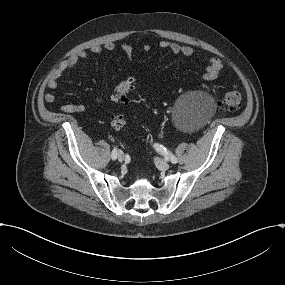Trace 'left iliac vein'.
I'll use <instances>...</instances> for the list:
<instances>
[{
  "instance_id": "left-iliac-vein-1",
  "label": "left iliac vein",
  "mask_w": 285,
  "mask_h": 285,
  "mask_svg": "<svg viewBox=\"0 0 285 285\" xmlns=\"http://www.w3.org/2000/svg\"><path fill=\"white\" fill-rule=\"evenodd\" d=\"M156 165L161 170H168L170 168V165L163 161L162 159L156 158L155 159Z\"/></svg>"
}]
</instances>
